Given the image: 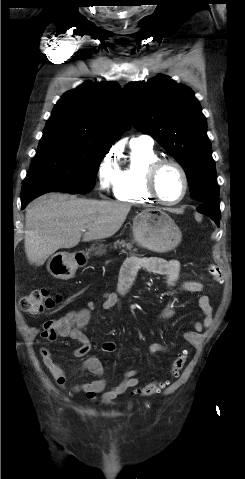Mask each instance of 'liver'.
Wrapping results in <instances>:
<instances>
[{
    "instance_id": "liver-1",
    "label": "liver",
    "mask_w": 245,
    "mask_h": 479,
    "mask_svg": "<svg viewBox=\"0 0 245 479\" xmlns=\"http://www.w3.org/2000/svg\"><path fill=\"white\" fill-rule=\"evenodd\" d=\"M131 209L128 203L80 199L61 194L34 200L25 216V252L31 264L41 266L61 248H73L114 235ZM88 229L87 232H84Z\"/></svg>"
}]
</instances>
